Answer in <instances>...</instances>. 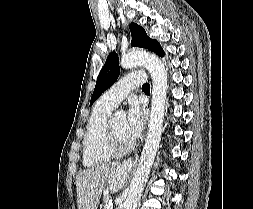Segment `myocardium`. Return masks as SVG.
I'll list each match as a JSON object with an SVG mask.
<instances>
[{
	"mask_svg": "<svg viewBox=\"0 0 253 209\" xmlns=\"http://www.w3.org/2000/svg\"><path fill=\"white\" fill-rule=\"evenodd\" d=\"M105 144L108 151L114 156H123L130 153L135 145L131 143L128 146H121L118 143L116 135L113 130L112 120H108L105 131Z\"/></svg>",
	"mask_w": 253,
	"mask_h": 209,
	"instance_id": "f54148a6",
	"label": "myocardium"
}]
</instances>
